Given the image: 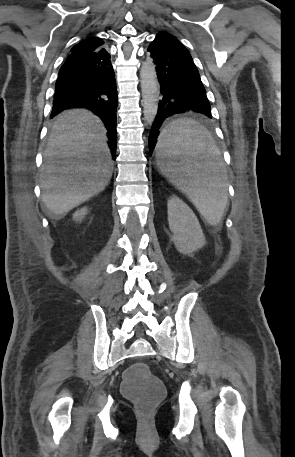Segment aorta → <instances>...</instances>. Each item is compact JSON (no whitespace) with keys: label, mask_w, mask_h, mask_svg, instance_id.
<instances>
[{"label":"aorta","mask_w":295,"mask_h":457,"mask_svg":"<svg viewBox=\"0 0 295 457\" xmlns=\"http://www.w3.org/2000/svg\"><path fill=\"white\" fill-rule=\"evenodd\" d=\"M143 114L147 124H152L158 111L159 84L155 65L151 58L142 63L140 69Z\"/></svg>","instance_id":"aorta-1"}]
</instances>
